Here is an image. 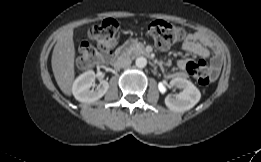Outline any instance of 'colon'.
I'll return each instance as SVG.
<instances>
[{
	"mask_svg": "<svg viewBox=\"0 0 261 162\" xmlns=\"http://www.w3.org/2000/svg\"><path fill=\"white\" fill-rule=\"evenodd\" d=\"M118 23L113 19L104 20L102 23L92 26L88 31V37L95 43L85 42L81 46L80 63L84 67H92L100 59L99 50L111 48L116 39ZM149 33L154 38L158 47L165 48L177 42L182 31L179 27L165 21L157 20L150 24ZM189 69L195 74L200 85L206 86L211 82L212 76L206 71L203 63H190Z\"/></svg>",
	"mask_w": 261,
	"mask_h": 162,
	"instance_id": "obj_1",
	"label": "colon"
}]
</instances>
